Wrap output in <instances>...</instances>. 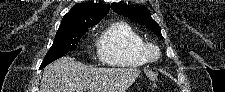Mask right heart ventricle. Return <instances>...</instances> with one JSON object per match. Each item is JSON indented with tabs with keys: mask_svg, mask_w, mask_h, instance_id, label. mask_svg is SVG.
<instances>
[{
	"mask_svg": "<svg viewBox=\"0 0 225 92\" xmlns=\"http://www.w3.org/2000/svg\"><path fill=\"white\" fill-rule=\"evenodd\" d=\"M143 35L126 22H115L100 35L97 46L102 63L110 66H140L147 62Z\"/></svg>",
	"mask_w": 225,
	"mask_h": 92,
	"instance_id": "right-heart-ventricle-1",
	"label": "right heart ventricle"
}]
</instances>
